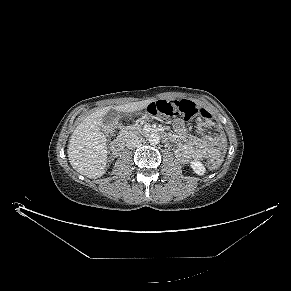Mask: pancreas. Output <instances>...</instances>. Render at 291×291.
<instances>
[{
	"label": "pancreas",
	"mask_w": 291,
	"mask_h": 291,
	"mask_svg": "<svg viewBox=\"0 0 291 291\" xmlns=\"http://www.w3.org/2000/svg\"><path fill=\"white\" fill-rule=\"evenodd\" d=\"M128 129H133V127H128L127 130H128ZM138 129H140V128H138ZM125 131H126V130H124L123 132H125Z\"/></svg>",
	"instance_id": "pancreas-1"
}]
</instances>
